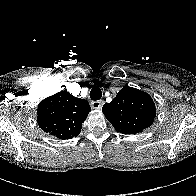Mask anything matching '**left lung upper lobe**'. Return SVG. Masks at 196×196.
Here are the masks:
<instances>
[{
	"instance_id": "obj_1",
	"label": "left lung upper lobe",
	"mask_w": 196,
	"mask_h": 196,
	"mask_svg": "<svg viewBox=\"0 0 196 196\" xmlns=\"http://www.w3.org/2000/svg\"><path fill=\"white\" fill-rule=\"evenodd\" d=\"M102 110L106 119L123 134L142 132L153 124L156 116L150 95L129 86L123 87Z\"/></svg>"
}]
</instances>
